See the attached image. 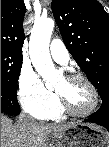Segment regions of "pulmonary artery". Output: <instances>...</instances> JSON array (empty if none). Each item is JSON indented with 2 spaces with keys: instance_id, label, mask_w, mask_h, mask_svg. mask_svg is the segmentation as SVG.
Listing matches in <instances>:
<instances>
[{
  "instance_id": "obj_1",
  "label": "pulmonary artery",
  "mask_w": 109,
  "mask_h": 147,
  "mask_svg": "<svg viewBox=\"0 0 109 147\" xmlns=\"http://www.w3.org/2000/svg\"><path fill=\"white\" fill-rule=\"evenodd\" d=\"M50 55L55 62L61 65H67L70 60V54L60 38L52 40L50 45Z\"/></svg>"
}]
</instances>
